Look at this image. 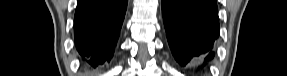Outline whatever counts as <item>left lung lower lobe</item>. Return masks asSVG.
I'll return each instance as SVG.
<instances>
[{"instance_id":"obj_1","label":"left lung lower lobe","mask_w":287,"mask_h":76,"mask_svg":"<svg viewBox=\"0 0 287 76\" xmlns=\"http://www.w3.org/2000/svg\"><path fill=\"white\" fill-rule=\"evenodd\" d=\"M162 14L177 63L204 70L219 36L216 0H162Z\"/></svg>"}]
</instances>
